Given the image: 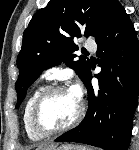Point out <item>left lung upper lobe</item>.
Wrapping results in <instances>:
<instances>
[{"mask_svg":"<svg viewBox=\"0 0 139 150\" xmlns=\"http://www.w3.org/2000/svg\"><path fill=\"white\" fill-rule=\"evenodd\" d=\"M117 0H50L38 10L23 34L22 49L17 58L20 74L16 82L18 100H24L27 89L44 69L61 62L75 70L85 83L90 61L84 56L76 59L78 50L73 38L93 36L105 28Z\"/></svg>","mask_w":139,"mask_h":150,"instance_id":"1","label":"left lung upper lobe"}]
</instances>
